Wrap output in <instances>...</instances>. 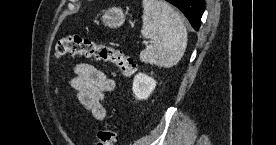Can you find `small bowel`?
Returning <instances> with one entry per match:
<instances>
[{
    "mask_svg": "<svg viewBox=\"0 0 276 145\" xmlns=\"http://www.w3.org/2000/svg\"><path fill=\"white\" fill-rule=\"evenodd\" d=\"M73 71L70 86L76 92L83 109L96 120H103L106 115L105 94L115 89V81L89 63H79Z\"/></svg>",
    "mask_w": 276,
    "mask_h": 145,
    "instance_id": "c3829d8e",
    "label": "small bowel"
}]
</instances>
